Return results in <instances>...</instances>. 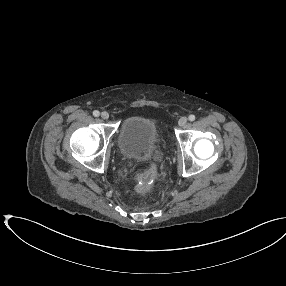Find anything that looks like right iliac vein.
I'll list each match as a JSON object with an SVG mask.
<instances>
[{
	"mask_svg": "<svg viewBox=\"0 0 286 286\" xmlns=\"http://www.w3.org/2000/svg\"><path fill=\"white\" fill-rule=\"evenodd\" d=\"M101 117H102V119L107 120L109 118V113L104 111L101 113Z\"/></svg>",
	"mask_w": 286,
	"mask_h": 286,
	"instance_id": "1",
	"label": "right iliac vein"
}]
</instances>
